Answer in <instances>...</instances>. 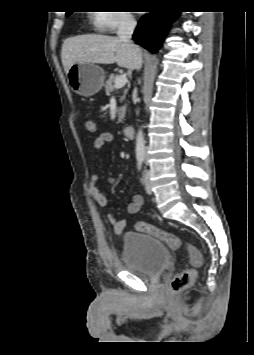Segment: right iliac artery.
Masks as SVG:
<instances>
[{
  "instance_id": "82829eb1",
  "label": "right iliac artery",
  "mask_w": 254,
  "mask_h": 355,
  "mask_svg": "<svg viewBox=\"0 0 254 355\" xmlns=\"http://www.w3.org/2000/svg\"><path fill=\"white\" fill-rule=\"evenodd\" d=\"M144 157H138L137 161H138V169H141L142 163H143Z\"/></svg>"
}]
</instances>
